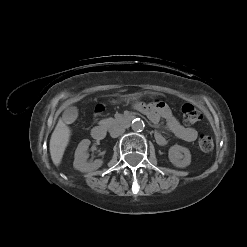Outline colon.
Here are the masks:
<instances>
[{"label":"colon","instance_id":"1","mask_svg":"<svg viewBox=\"0 0 247 247\" xmlns=\"http://www.w3.org/2000/svg\"><path fill=\"white\" fill-rule=\"evenodd\" d=\"M181 114L183 117V121L192 125L201 120L200 111L192 104L186 103L181 108ZM199 147L204 152H210L214 147L213 138L209 135H202L198 141Z\"/></svg>","mask_w":247,"mask_h":247}]
</instances>
